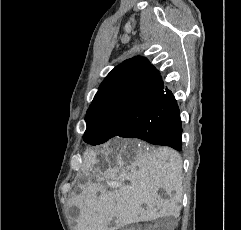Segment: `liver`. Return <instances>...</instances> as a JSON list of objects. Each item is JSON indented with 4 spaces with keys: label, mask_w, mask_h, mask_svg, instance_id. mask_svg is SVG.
Listing matches in <instances>:
<instances>
[{
    "label": "liver",
    "mask_w": 241,
    "mask_h": 230,
    "mask_svg": "<svg viewBox=\"0 0 241 230\" xmlns=\"http://www.w3.org/2000/svg\"><path fill=\"white\" fill-rule=\"evenodd\" d=\"M105 146L103 158L94 153L86 154L85 176L87 185L79 195L73 193L70 204L80 209L76 230H110L108 225L116 218L118 226L153 220L162 216L178 217L180 214L182 159L171 148H147L145 152ZM136 154L133 161L126 162L124 155ZM96 164L97 168H92ZM89 171V172H88ZM90 172L96 177L92 182ZM111 179L117 188L107 191L103 182ZM127 182V183H125ZM160 188L176 194L169 200L158 195ZM145 205V207H143ZM155 205H161L157 211Z\"/></svg>",
    "instance_id": "obj_1"
}]
</instances>
